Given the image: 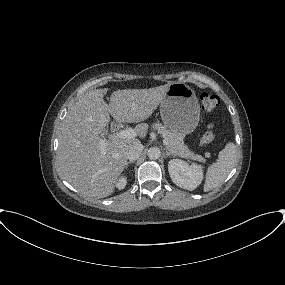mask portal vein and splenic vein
<instances>
[{
  "label": "portal vein and splenic vein",
  "instance_id": "18ae733b",
  "mask_svg": "<svg viewBox=\"0 0 285 285\" xmlns=\"http://www.w3.org/2000/svg\"><path fill=\"white\" fill-rule=\"evenodd\" d=\"M137 136V132L134 129L128 128L125 130H120L116 132L112 137L120 138V139H131ZM164 145H168V141L166 139L163 140ZM105 143H101V149L104 152Z\"/></svg>",
  "mask_w": 285,
  "mask_h": 285
}]
</instances>
